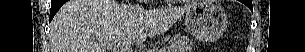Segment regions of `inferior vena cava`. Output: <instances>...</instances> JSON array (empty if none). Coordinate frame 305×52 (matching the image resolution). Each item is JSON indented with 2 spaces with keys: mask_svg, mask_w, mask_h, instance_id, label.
I'll list each match as a JSON object with an SVG mask.
<instances>
[{
  "mask_svg": "<svg viewBox=\"0 0 305 52\" xmlns=\"http://www.w3.org/2000/svg\"><path fill=\"white\" fill-rule=\"evenodd\" d=\"M135 7L139 8V5H135ZM125 49H126L128 52H130V47H129V46H127Z\"/></svg>",
  "mask_w": 305,
  "mask_h": 52,
  "instance_id": "inferior-vena-cava-1",
  "label": "inferior vena cava"
}]
</instances>
